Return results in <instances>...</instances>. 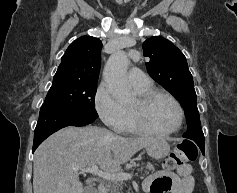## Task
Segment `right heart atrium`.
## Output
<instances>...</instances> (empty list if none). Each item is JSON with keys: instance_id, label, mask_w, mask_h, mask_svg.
I'll return each instance as SVG.
<instances>
[{"instance_id": "d8ad5b80", "label": "right heart atrium", "mask_w": 237, "mask_h": 193, "mask_svg": "<svg viewBox=\"0 0 237 193\" xmlns=\"http://www.w3.org/2000/svg\"><path fill=\"white\" fill-rule=\"evenodd\" d=\"M94 105L105 125L116 132L123 131L126 124V111L105 83L98 86L94 95Z\"/></svg>"}]
</instances>
